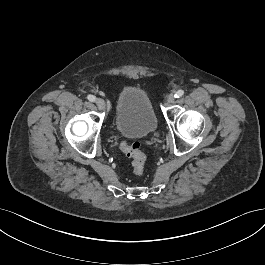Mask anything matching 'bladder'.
Returning a JSON list of instances; mask_svg holds the SVG:
<instances>
[{"label":"bladder","instance_id":"obj_1","mask_svg":"<svg viewBox=\"0 0 265 265\" xmlns=\"http://www.w3.org/2000/svg\"><path fill=\"white\" fill-rule=\"evenodd\" d=\"M115 128L121 135L143 139L157 129V117L144 89L125 87L118 95L114 115Z\"/></svg>","mask_w":265,"mask_h":265}]
</instances>
